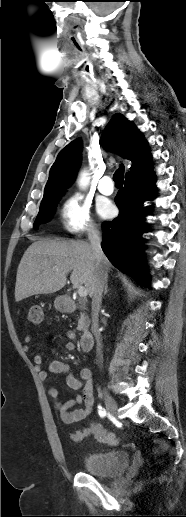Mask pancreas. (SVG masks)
Listing matches in <instances>:
<instances>
[{"label":"pancreas","mask_w":186,"mask_h":517,"mask_svg":"<svg viewBox=\"0 0 186 517\" xmlns=\"http://www.w3.org/2000/svg\"><path fill=\"white\" fill-rule=\"evenodd\" d=\"M89 324L90 319L88 315H86L85 313H81L80 319L78 320L77 330L82 331L83 329L88 328Z\"/></svg>","instance_id":"obj_1"}]
</instances>
